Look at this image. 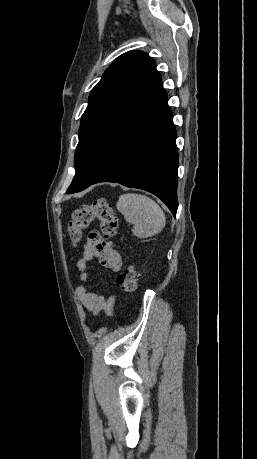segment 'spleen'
Returning <instances> with one entry per match:
<instances>
[{
  "mask_svg": "<svg viewBox=\"0 0 257 459\" xmlns=\"http://www.w3.org/2000/svg\"><path fill=\"white\" fill-rule=\"evenodd\" d=\"M117 210L125 220L132 223L133 234L138 238H148L162 231L166 218L161 207L150 197L126 193L119 197Z\"/></svg>",
  "mask_w": 257,
  "mask_h": 459,
  "instance_id": "obj_1",
  "label": "spleen"
}]
</instances>
